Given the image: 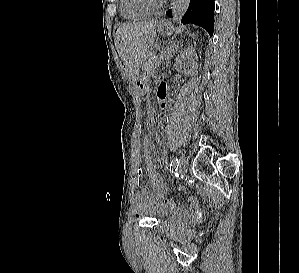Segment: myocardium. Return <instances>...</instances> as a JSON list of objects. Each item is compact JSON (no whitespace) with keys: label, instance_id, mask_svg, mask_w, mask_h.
Listing matches in <instances>:
<instances>
[{"label":"myocardium","instance_id":"myocardium-1","mask_svg":"<svg viewBox=\"0 0 299 273\" xmlns=\"http://www.w3.org/2000/svg\"><path fill=\"white\" fill-rule=\"evenodd\" d=\"M139 4L150 13L159 11L165 4L166 0H161L159 2H152L151 0H137Z\"/></svg>","mask_w":299,"mask_h":273}]
</instances>
